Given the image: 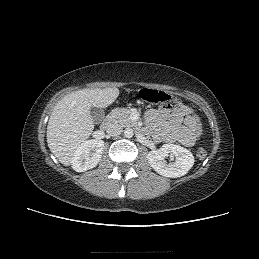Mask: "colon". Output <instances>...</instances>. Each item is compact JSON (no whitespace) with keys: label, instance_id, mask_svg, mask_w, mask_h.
<instances>
[{"label":"colon","instance_id":"obj_1","mask_svg":"<svg viewBox=\"0 0 259 259\" xmlns=\"http://www.w3.org/2000/svg\"><path fill=\"white\" fill-rule=\"evenodd\" d=\"M140 98L151 104H167L175 101L178 106H181L184 103V100L181 97H175L165 91H160L156 89L144 88L139 92ZM193 117L191 118V124L193 125V134L196 141L201 142L204 139L202 133V125L200 124V118L195 114L194 110H191ZM207 156V151L203 148L197 150V157L204 159Z\"/></svg>","mask_w":259,"mask_h":259}]
</instances>
